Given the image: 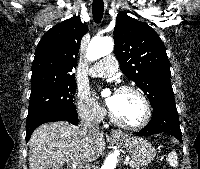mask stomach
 <instances>
[{
    "label": "stomach",
    "mask_w": 200,
    "mask_h": 169,
    "mask_svg": "<svg viewBox=\"0 0 200 169\" xmlns=\"http://www.w3.org/2000/svg\"><path fill=\"white\" fill-rule=\"evenodd\" d=\"M115 142L123 144L132 160L139 165L149 164L156 155L155 148L144 138L124 136Z\"/></svg>",
    "instance_id": "obj_1"
}]
</instances>
